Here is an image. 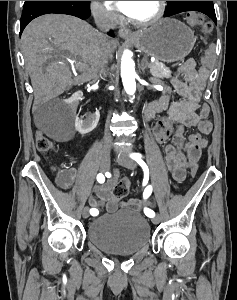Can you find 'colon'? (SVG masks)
<instances>
[{"instance_id":"colon-1","label":"colon","mask_w":237,"mask_h":300,"mask_svg":"<svg viewBox=\"0 0 237 300\" xmlns=\"http://www.w3.org/2000/svg\"><path fill=\"white\" fill-rule=\"evenodd\" d=\"M186 20L189 25L193 27H201L205 35L209 36L212 33V24L205 19V17L196 11L188 12ZM216 51L211 47L202 58L203 66L210 67L215 61ZM36 147L41 153H48L54 149V144L44 134L38 133L36 136ZM198 166L194 163L190 168V173L194 177L197 174ZM129 181L127 179L121 180L113 190V197L116 200L123 199L128 194Z\"/></svg>"}]
</instances>
